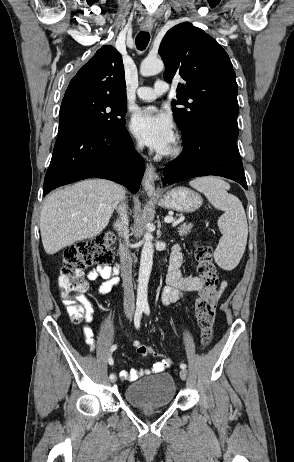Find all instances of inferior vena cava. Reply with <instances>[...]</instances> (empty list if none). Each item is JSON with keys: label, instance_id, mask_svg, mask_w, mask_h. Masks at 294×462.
Instances as JSON below:
<instances>
[{"label": "inferior vena cava", "instance_id": "inferior-vena-cava-1", "mask_svg": "<svg viewBox=\"0 0 294 462\" xmlns=\"http://www.w3.org/2000/svg\"><path fill=\"white\" fill-rule=\"evenodd\" d=\"M139 148L142 149V144H139ZM118 214L120 215L119 220L115 223L116 229L125 234L128 231V215H127V205L123 202V198L121 199V203L117 207ZM121 263H122V280H123V288H124V312L126 315H132L135 310V303H134V292H133V284H132V276L131 270L127 265V253L126 250L123 249L121 253Z\"/></svg>", "mask_w": 294, "mask_h": 462}]
</instances>
